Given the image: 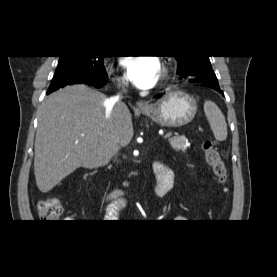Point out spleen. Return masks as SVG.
I'll use <instances>...</instances> for the list:
<instances>
[{
    "label": "spleen",
    "instance_id": "obj_1",
    "mask_svg": "<svg viewBox=\"0 0 277 277\" xmlns=\"http://www.w3.org/2000/svg\"><path fill=\"white\" fill-rule=\"evenodd\" d=\"M204 112L213 131L215 139L218 141L226 140L227 124L225 117L218 106L214 102L207 100L204 102Z\"/></svg>",
    "mask_w": 277,
    "mask_h": 277
}]
</instances>
